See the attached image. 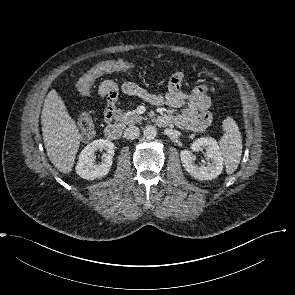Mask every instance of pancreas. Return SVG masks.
Listing matches in <instances>:
<instances>
[{
  "mask_svg": "<svg viewBox=\"0 0 295 295\" xmlns=\"http://www.w3.org/2000/svg\"><path fill=\"white\" fill-rule=\"evenodd\" d=\"M143 117L138 115L135 111H122L119 110L116 115V122H119V125L125 127L126 125H132L139 123Z\"/></svg>",
  "mask_w": 295,
  "mask_h": 295,
  "instance_id": "cf45deb5",
  "label": "pancreas"
}]
</instances>
